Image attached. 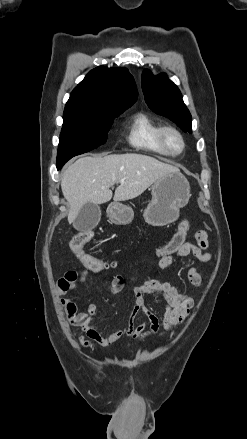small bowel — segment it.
<instances>
[{
	"instance_id": "obj_1",
	"label": "small bowel",
	"mask_w": 247,
	"mask_h": 439,
	"mask_svg": "<svg viewBox=\"0 0 247 439\" xmlns=\"http://www.w3.org/2000/svg\"><path fill=\"white\" fill-rule=\"evenodd\" d=\"M208 247L207 234L200 230L196 233V243L184 242L179 250L168 256H163L159 263V271L168 268L176 258H183L189 255L194 256L202 262H208L211 259L210 253L206 251ZM87 271L76 272L68 271L59 279L57 283V293L61 297V304L65 310L68 322L76 327H80L90 340L78 335L80 343L88 348H96L98 343L103 346H110L118 339L128 336L135 340L142 341L152 335L158 333L160 328L159 318L146 306V295H157L162 298V305L165 309V314L162 320L166 334L175 327L184 322L190 315L194 307V300L188 296L179 293L175 287L168 282H160L155 279V274L148 275L141 285L131 284L134 295V306L130 312L128 325L126 328L115 331L111 334L105 335L94 324V317L100 311L94 304H89L84 310H80L78 303L69 298L64 297L69 293L80 281L86 279ZM188 280L196 287L201 285V275L196 267L189 269L187 274ZM130 283L127 282L121 275H114L107 286V290L111 294H117L125 289ZM138 315L143 317L139 324H135V319ZM149 328L146 330V326ZM162 334V335H163Z\"/></svg>"
}]
</instances>
